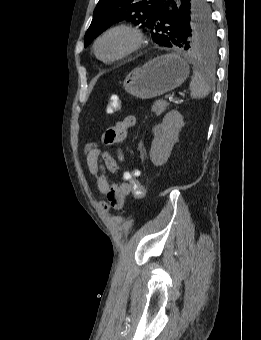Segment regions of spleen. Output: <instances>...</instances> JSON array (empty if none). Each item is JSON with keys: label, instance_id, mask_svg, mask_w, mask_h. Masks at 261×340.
Returning a JSON list of instances; mask_svg holds the SVG:
<instances>
[{"label": "spleen", "instance_id": "1", "mask_svg": "<svg viewBox=\"0 0 261 340\" xmlns=\"http://www.w3.org/2000/svg\"><path fill=\"white\" fill-rule=\"evenodd\" d=\"M191 97L204 98L211 90V80L209 75L203 69L195 67L193 70V78L190 83Z\"/></svg>", "mask_w": 261, "mask_h": 340}]
</instances>
